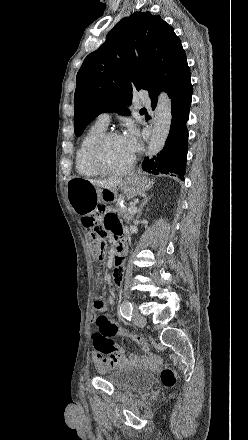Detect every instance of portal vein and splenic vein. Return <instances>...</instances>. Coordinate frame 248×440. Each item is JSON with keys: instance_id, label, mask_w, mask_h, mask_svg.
<instances>
[{"instance_id": "portal-vein-and-splenic-vein-1", "label": "portal vein and splenic vein", "mask_w": 248, "mask_h": 440, "mask_svg": "<svg viewBox=\"0 0 248 440\" xmlns=\"http://www.w3.org/2000/svg\"><path fill=\"white\" fill-rule=\"evenodd\" d=\"M129 213H136L137 212V207L135 204H132L129 208H128Z\"/></svg>"}]
</instances>
